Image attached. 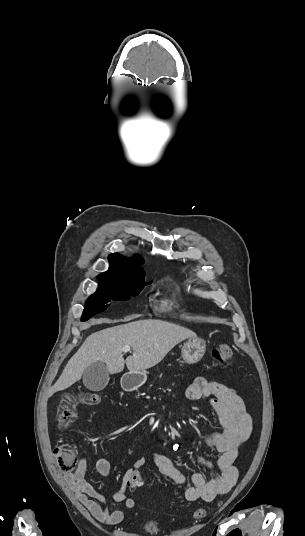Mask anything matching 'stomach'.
<instances>
[{
  "label": "stomach",
  "instance_id": "stomach-1",
  "mask_svg": "<svg viewBox=\"0 0 305 536\" xmlns=\"http://www.w3.org/2000/svg\"><path fill=\"white\" fill-rule=\"evenodd\" d=\"M206 352V342L201 338H189L184 342L181 350V356L186 364H196L200 362ZM130 388H140L146 382L145 374H128Z\"/></svg>",
  "mask_w": 305,
  "mask_h": 536
}]
</instances>
